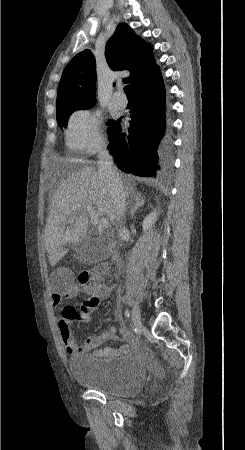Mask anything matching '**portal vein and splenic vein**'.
I'll return each instance as SVG.
<instances>
[{"instance_id":"portal-vein-and-splenic-vein-1","label":"portal vein and splenic vein","mask_w":245,"mask_h":450,"mask_svg":"<svg viewBox=\"0 0 245 450\" xmlns=\"http://www.w3.org/2000/svg\"><path fill=\"white\" fill-rule=\"evenodd\" d=\"M85 212L88 214V216L91 218V220L94 222V224H98V227L100 229H106L109 227V221L106 218H101L98 220V215L91 207H86ZM69 223H73V219L68 220Z\"/></svg>"}]
</instances>
